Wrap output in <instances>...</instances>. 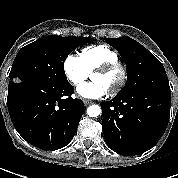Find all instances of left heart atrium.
<instances>
[{"label":"left heart atrium","mask_w":178,"mask_h":178,"mask_svg":"<svg viewBox=\"0 0 178 178\" xmlns=\"http://www.w3.org/2000/svg\"><path fill=\"white\" fill-rule=\"evenodd\" d=\"M108 88L102 83L91 81L77 87V93L84 99H100L108 93Z\"/></svg>","instance_id":"39dd6f15"}]
</instances>
